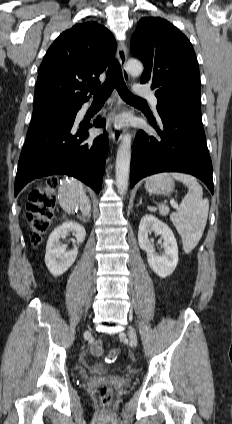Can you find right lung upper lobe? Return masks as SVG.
<instances>
[{
	"label": "right lung upper lobe",
	"mask_w": 232,
	"mask_h": 424,
	"mask_svg": "<svg viewBox=\"0 0 232 424\" xmlns=\"http://www.w3.org/2000/svg\"><path fill=\"white\" fill-rule=\"evenodd\" d=\"M116 47L111 32L96 22L79 23L63 32L41 63L34 108L81 106L89 99L86 83L100 84L99 76Z\"/></svg>",
	"instance_id": "right-lung-upper-lobe-1"
}]
</instances>
